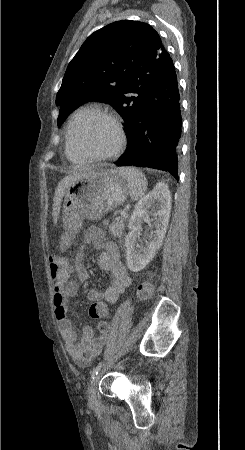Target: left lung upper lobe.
I'll use <instances>...</instances> for the list:
<instances>
[{"mask_svg":"<svg viewBox=\"0 0 245 450\" xmlns=\"http://www.w3.org/2000/svg\"><path fill=\"white\" fill-rule=\"evenodd\" d=\"M169 60L158 33L146 23L122 20L97 30L67 67L56 96L58 126L82 102L99 100L117 110L128 137Z\"/></svg>","mask_w":245,"mask_h":450,"instance_id":"obj_1","label":"left lung upper lobe"}]
</instances>
